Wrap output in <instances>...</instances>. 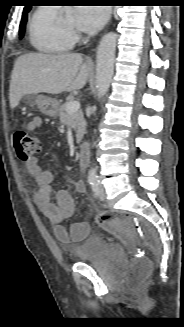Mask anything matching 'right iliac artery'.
Listing matches in <instances>:
<instances>
[{"mask_svg": "<svg viewBox=\"0 0 184 327\" xmlns=\"http://www.w3.org/2000/svg\"><path fill=\"white\" fill-rule=\"evenodd\" d=\"M95 180H96L95 177H89V178H88V182H89L90 184H92Z\"/></svg>", "mask_w": 184, "mask_h": 327, "instance_id": "right-iliac-artery-1", "label": "right iliac artery"}]
</instances>
